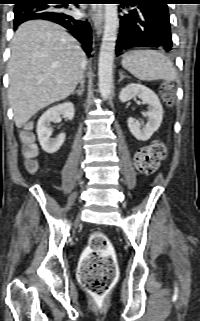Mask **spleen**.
<instances>
[{"label":"spleen","mask_w":200,"mask_h":321,"mask_svg":"<svg viewBox=\"0 0 200 321\" xmlns=\"http://www.w3.org/2000/svg\"><path fill=\"white\" fill-rule=\"evenodd\" d=\"M122 65L142 81L163 79L174 81L177 77L170 59L156 50H133L124 55Z\"/></svg>","instance_id":"1"}]
</instances>
